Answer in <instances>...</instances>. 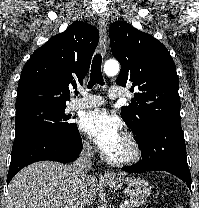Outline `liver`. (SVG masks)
<instances>
[{
    "label": "liver",
    "mask_w": 199,
    "mask_h": 208,
    "mask_svg": "<svg viewBox=\"0 0 199 208\" xmlns=\"http://www.w3.org/2000/svg\"><path fill=\"white\" fill-rule=\"evenodd\" d=\"M98 190L95 176L79 177L70 165L41 161L23 168L12 179L7 208H79L91 205Z\"/></svg>",
    "instance_id": "1"
}]
</instances>
